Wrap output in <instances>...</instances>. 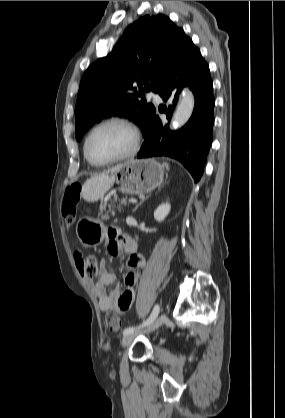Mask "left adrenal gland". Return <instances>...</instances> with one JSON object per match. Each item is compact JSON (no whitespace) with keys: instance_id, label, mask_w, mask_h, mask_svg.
<instances>
[{"instance_id":"1","label":"left adrenal gland","mask_w":285,"mask_h":418,"mask_svg":"<svg viewBox=\"0 0 285 418\" xmlns=\"http://www.w3.org/2000/svg\"><path fill=\"white\" fill-rule=\"evenodd\" d=\"M147 198H148V196L146 198H142L141 201L136 205L134 210H136L141 205V203H143Z\"/></svg>"}]
</instances>
